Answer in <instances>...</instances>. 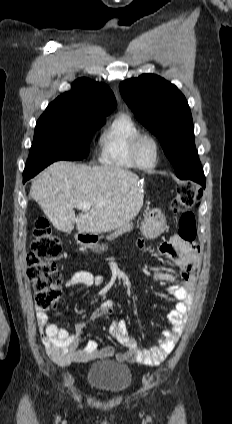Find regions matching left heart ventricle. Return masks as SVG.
Returning <instances> with one entry per match:
<instances>
[{
    "instance_id": "left-heart-ventricle-1",
    "label": "left heart ventricle",
    "mask_w": 232,
    "mask_h": 424,
    "mask_svg": "<svg viewBox=\"0 0 232 424\" xmlns=\"http://www.w3.org/2000/svg\"><path fill=\"white\" fill-rule=\"evenodd\" d=\"M137 156L140 163L144 166H149L155 158V147L151 140L144 139L140 142L137 148Z\"/></svg>"
}]
</instances>
